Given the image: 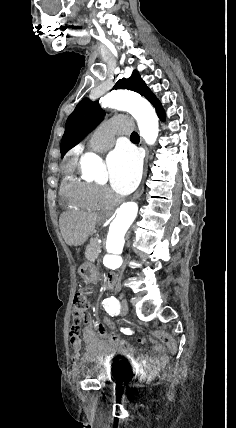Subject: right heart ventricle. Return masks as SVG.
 <instances>
[{"instance_id": "1", "label": "right heart ventricle", "mask_w": 236, "mask_h": 428, "mask_svg": "<svg viewBox=\"0 0 236 428\" xmlns=\"http://www.w3.org/2000/svg\"><path fill=\"white\" fill-rule=\"evenodd\" d=\"M84 158L81 153L74 155L61 181L60 195L72 207L98 210L103 204V199L98 193V186L76 173L78 168L81 169Z\"/></svg>"}]
</instances>
